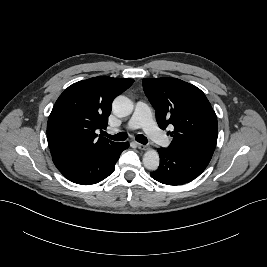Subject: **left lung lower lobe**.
Masks as SVG:
<instances>
[{"mask_svg": "<svg viewBox=\"0 0 267 267\" xmlns=\"http://www.w3.org/2000/svg\"><path fill=\"white\" fill-rule=\"evenodd\" d=\"M159 169L151 173V177L167 185H182L198 177L207 167L211 159L203 156L159 148Z\"/></svg>", "mask_w": 267, "mask_h": 267, "instance_id": "0a47b994", "label": "left lung lower lobe"}]
</instances>
